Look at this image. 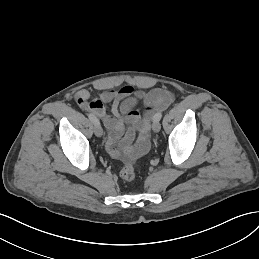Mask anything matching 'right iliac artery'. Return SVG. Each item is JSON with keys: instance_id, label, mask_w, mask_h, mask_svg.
<instances>
[{"instance_id": "right-iliac-artery-1", "label": "right iliac artery", "mask_w": 259, "mask_h": 259, "mask_svg": "<svg viewBox=\"0 0 259 259\" xmlns=\"http://www.w3.org/2000/svg\"><path fill=\"white\" fill-rule=\"evenodd\" d=\"M88 117L93 124H100L99 120L93 114H89Z\"/></svg>"}]
</instances>
